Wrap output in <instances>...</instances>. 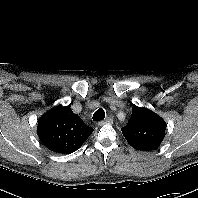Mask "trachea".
<instances>
[{
	"instance_id": "3493384b",
	"label": "trachea",
	"mask_w": 198,
	"mask_h": 198,
	"mask_svg": "<svg viewBox=\"0 0 198 198\" xmlns=\"http://www.w3.org/2000/svg\"><path fill=\"white\" fill-rule=\"evenodd\" d=\"M104 118H105V111L102 108L98 109L93 114V120L94 121L104 120Z\"/></svg>"
}]
</instances>
